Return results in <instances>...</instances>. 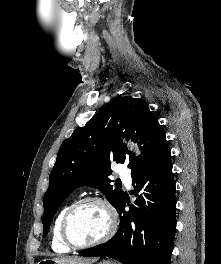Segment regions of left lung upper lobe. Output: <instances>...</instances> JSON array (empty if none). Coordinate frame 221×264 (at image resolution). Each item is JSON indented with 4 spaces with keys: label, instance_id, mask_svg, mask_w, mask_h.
Returning <instances> with one entry per match:
<instances>
[{
    "label": "left lung upper lobe",
    "instance_id": "left-lung-upper-lobe-1",
    "mask_svg": "<svg viewBox=\"0 0 221 264\" xmlns=\"http://www.w3.org/2000/svg\"><path fill=\"white\" fill-rule=\"evenodd\" d=\"M120 135L136 141L143 156L127 151L118 141ZM165 140L164 129L142 100L126 96L109 102L84 127L77 128L58 151L43 200V237L59 206L80 186L98 188L117 208L124 192L111 185V162L128 161L131 175H135L151 162Z\"/></svg>",
    "mask_w": 221,
    "mask_h": 264
}]
</instances>
